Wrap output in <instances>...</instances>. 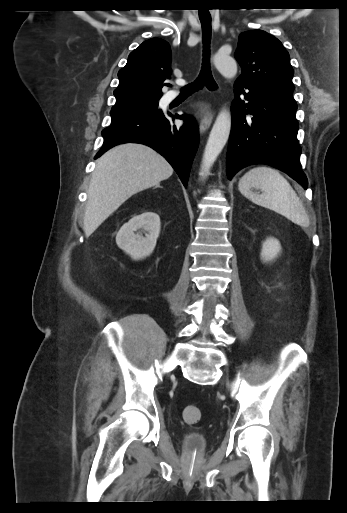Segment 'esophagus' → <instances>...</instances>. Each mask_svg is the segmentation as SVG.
Segmentation results:
<instances>
[{"label": "esophagus", "instance_id": "34e87169", "mask_svg": "<svg viewBox=\"0 0 347 513\" xmlns=\"http://www.w3.org/2000/svg\"><path fill=\"white\" fill-rule=\"evenodd\" d=\"M214 116V111L210 103L204 106L200 111V125L199 129L201 133H204L211 125Z\"/></svg>", "mask_w": 347, "mask_h": 513}]
</instances>
